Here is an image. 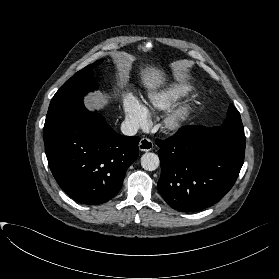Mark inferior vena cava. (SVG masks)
<instances>
[{"mask_svg": "<svg viewBox=\"0 0 279 279\" xmlns=\"http://www.w3.org/2000/svg\"><path fill=\"white\" fill-rule=\"evenodd\" d=\"M121 131L124 135L133 136L138 131V126L134 121L125 120L121 124Z\"/></svg>", "mask_w": 279, "mask_h": 279, "instance_id": "obj_1", "label": "inferior vena cava"}]
</instances>
